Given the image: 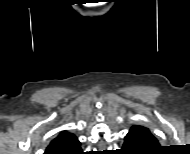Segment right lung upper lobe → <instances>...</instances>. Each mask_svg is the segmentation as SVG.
I'll list each match as a JSON object with an SVG mask.
<instances>
[{
    "mask_svg": "<svg viewBox=\"0 0 190 154\" xmlns=\"http://www.w3.org/2000/svg\"><path fill=\"white\" fill-rule=\"evenodd\" d=\"M81 150L77 137L69 132L62 131L53 139L44 154H75Z\"/></svg>",
    "mask_w": 190,
    "mask_h": 154,
    "instance_id": "cb5924a9",
    "label": "right lung upper lobe"
}]
</instances>
